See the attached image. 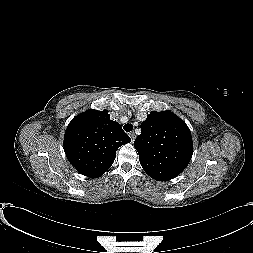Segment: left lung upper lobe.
<instances>
[{
    "instance_id": "1",
    "label": "left lung upper lobe",
    "mask_w": 253,
    "mask_h": 253,
    "mask_svg": "<svg viewBox=\"0 0 253 253\" xmlns=\"http://www.w3.org/2000/svg\"><path fill=\"white\" fill-rule=\"evenodd\" d=\"M134 142L142 168L157 181H168L189 164L193 152L187 125L171 111L151 112Z\"/></svg>"
}]
</instances>
